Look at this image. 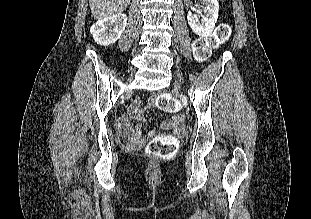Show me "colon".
Returning a JSON list of instances; mask_svg holds the SVG:
<instances>
[{
    "instance_id": "1",
    "label": "colon",
    "mask_w": 311,
    "mask_h": 219,
    "mask_svg": "<svg viewBox=\"0 0 311 219\" xmlns=\"http://www.w3.org/2000/svg\"><path fill=\"white\" fill-rule=\"evenodd\" d=\"M229 36V25L227 23L219 24L212 35L199 38L195 41L193 45L195 57L199 60L206 59L210 55L212 49L226 42ZM152 103L162 111L173 112L176 110L175 100L165 94L158 95ZM125 134L126 133L120 137L122 143H126L123 139ZM177 150V140L167 136L154 137L147 146V153L158 158H170L176 154Z\"/></svg>"
}]
</instances>
